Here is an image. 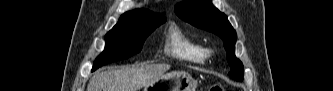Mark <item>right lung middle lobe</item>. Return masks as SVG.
<instances>
[{"label":"right lung middle lobe","mask_w":333,"mask_h":91,"mask_svg":"<svg viewBox=\"0 0 333 91\" xmlns=\"http://www.w3.org/2000/svg\"><path fill=\"white\" fill-rule=\"evenodd\" d=\"M166 21L165 18L149 21H132L115 25L105 35V49L96 58L92 71L97 68L122 59H127L139 53L145 39Z\"/></svg>","instance_id":"dd1d6c3e"}]
</instances>
